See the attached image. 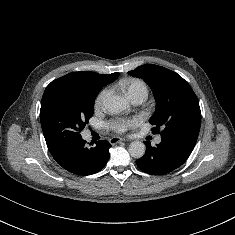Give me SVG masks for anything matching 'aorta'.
<instances>
[{
    "instance_id": "1",
    "label": "aorta",
    "mask_w": 235,
    "mask_h": 235,
    "mask_svg": "<svg viewBox=\"0 0 235 235\" xmlns=\"http://www.w3.org/2000/svg\"><path fill=\"white\" fill-rule=\"evenodd\" d=\"M103 105L107 112L114 114L123 111L127 102L122 96L110 94L104 99ZM128 150L133 158L139 159L145 154L146 146L141 141H134L130 143Z\"/></svg>"
}]
</instances>
